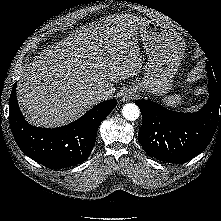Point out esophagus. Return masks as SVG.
<instances>
[{"label":"esophagus","mask_w":221,"mask_h":221,"mask_svg":"<svg viewBox=\"0 0 221 221\" xmlns=\"http://www.w3.org/2000/svg\"><path fill=\"white\" fill-rule=\"evenodd\" d=\"M135 91L133 89H128L123 92L122 94V100L123 101H129L135 97Z\"/></svg>","instance_id":"obj_1"}]
</instances>
